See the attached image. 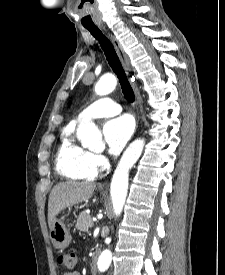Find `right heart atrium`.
I'll return each mask as SVG.
<instances>
[{
  "instance_id": "right-heart-atrium-1",
  "label": "right heart atrium",
  "mask_w": 225,
  "mask_h": 275,
  "mask_svg": "<svg viewBox=\"0 0 225 275\" xmlns=\"http://www.w3.org/2000/svg\"><path fill=\"white\" fill-rule=\"evenodd\" d=\"M91 162L96 169H102L107 163L106 158L99 153H91Z\"/></svg>"
}]
</instances>
